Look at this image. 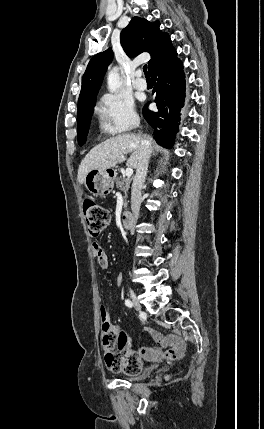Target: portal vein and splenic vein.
<instances>
[{"label":"portal vein and splenic vein","mask_w":264,"mask_h":429,"mask_svg":"<svg viewBox=\"0 0 264 429\" xmlns=\"http://www.w3.org/2000/svg\"><path fill=\"white\" fill-rule=\"evenodd\" d=\"M132 174H133V169L132 168H127L126 169V171H125V175L127 176V177H131L132 176Z\"/></svg>","instance_id":"18ae733b"}]
</instances>
